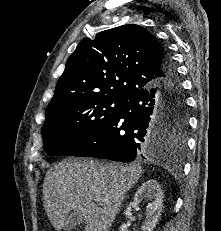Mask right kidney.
<instances>
[{
    "label": "right kidney",
    "mask_w": 221,
    "mask_h": 231,
    "mask_svg": "<svg viewBox=\"0 0 221 231\" xmlns=\"http://www.w3.org/2000/svg\"><path fill=\"white\" fill-rule=\"evenodd\" d=\"M144 199L149 201L146 207V221L141 227V231H153L155 228L162 211L163 192L159 183L156 180H147L136 191L133 201L129 204V207L125 210V216H132V208L139 205ZM128 223H124L120 227V231H129Z\"/></svg>",
    "instance_id": "ca27d5eb"
}]
</instances>
